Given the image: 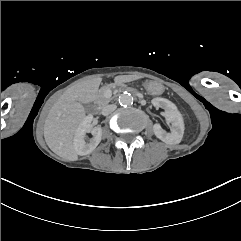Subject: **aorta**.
Wrapping results in <instances>:
<instances>
[{
    "label": "aorta",
    "instance_id": "obj_1",
    "mask_svg": "<svg viewBox=\"0 0 241 241\" xmlns=\"http://www.w3.org/2000/svg\"><path fill=\"white\" fill-rule=\"evenodd\" d=\"M118 101L121 106H129L133 104V96L130 93L125 92L119 96Z\"/></svg>",
    "mask_w": 241,
    "mask_h": 241
}]
</instances>
